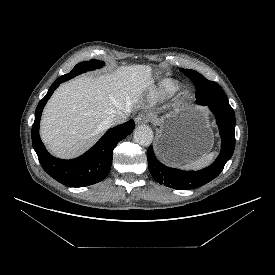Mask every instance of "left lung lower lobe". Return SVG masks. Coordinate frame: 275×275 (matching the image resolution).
Instances as JSON below:
<instances>
[{"label":"left lung lower lobe","mask_w":275,"mask_h":275,"mask_svg":"<svg viewBox=\"0 0 275 275\" xmlns=\"http://www.w3.org/2000/svg\"><path fill=\"white\" fill-rule=\"evenodd\" d=\"M199 104L208 105L215 114L220 136L221 152L209 167L199 171H181L161 164L155 157L152 146L147 151L149 171L160 184L178 190L202 186L216 178L231 158L235 148V114L229 104L203 98Z\"/></svg>","instance_id":"left-lung-lower-lobe-1"}]
</instances>
